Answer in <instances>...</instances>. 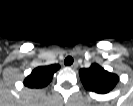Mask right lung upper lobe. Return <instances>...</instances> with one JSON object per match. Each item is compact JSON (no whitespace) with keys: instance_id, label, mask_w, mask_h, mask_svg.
Listing matches in <instances>:
<instances>
[{"instance_id":"cb5924a9","label":"right lung upper lobe","mask_w":133,"mask_h":106,"mask_svg":"<svg viewBox=\"0 0 133 106\" xmlns=\"http://www.w3.org/2000/svg\"><path fill=\"white\" fill-rule=\"evenodd\" d=\"M60 68L58 64L49 66H39L35 68L31 74L25 78L24 85L29 88H42L47 86L54 73Z\"/></svg>"}]
</instances>
